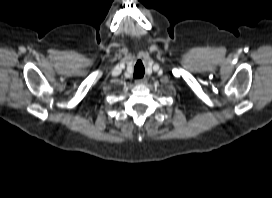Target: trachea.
Instances as JSON below:
<instances>
[{
    "mask_svg": "<svg viewBox=\"0 0 272 198\" xmlns=\"http://www.w3.org/2000/svg\"><path fill=\"white\" fill-rule=\"evenodd\" d=\"M145 70L141 62H138L134 69V78H142L144 76Z\"/></svg>",
    "mask_w": 272,
    "mask_h": 198,
    "instance_id": "3493384b",
    "label": "trachea"
}]
</instances>
